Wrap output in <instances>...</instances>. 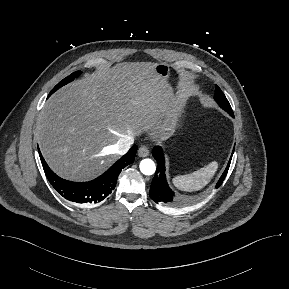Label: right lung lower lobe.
<instances>
[{"label": "right lung lower lobe", "mask_w": 289, "mask_h": 289, "mask_svg": "<svg viewBox=\"0 0 289 289\" xmlns=\"http://www.w3.org/2000/svg\"><path fill=\"white\" fill-rule=\"evenodd\" d=\"M137 145L114 163L105 173L89 182H71L58 177L50 170L41 153L40 159L44 172L55 190L65 199L79 204H95L104 200L114 190L117 178L127 165L133 163Z\"/></svg>", "instance_id": "1"}]
</instances>
